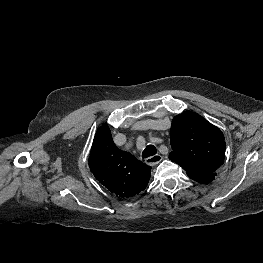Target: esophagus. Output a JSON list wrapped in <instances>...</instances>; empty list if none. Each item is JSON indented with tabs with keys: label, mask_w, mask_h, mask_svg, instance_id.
<instances>
[{
	"label": "esophagus",
	"mask_w": 263,
	"mask_h": 263,
	"mask_svg": "<svg viewBox=\"0 0 263 263\" xmlns=\"http://www.w3.org/2000/svg\"><path fill=\"white\" fill-rule=\"evenodd\" d=\"M162 160V156L160 154H155L153 156L148 157L145 162L149 166H155Z\"/></svg>",
	"instance_id": "esophagus-1"
}]
</instances>
